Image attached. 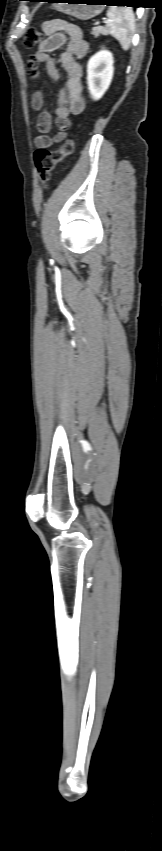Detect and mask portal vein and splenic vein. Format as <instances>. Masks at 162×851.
Segmentation results:
<instances>
[{
  "mask_svg": "<svg viewBox=\"0 0 162 851\" xmlns=\"http://www.w3.org/2000/svg\"><path fill=\"white\" fill-rule=\"evenodd\" d=\"M107 22H108V20H104V23H107ZM98 24H100V22L96 23V25H98Z\"/></svg>",
  "mask_w": 162,
  "mask_h": 851,
  "instance_id": "18ae733b",
  "label": "portal vein and splenic vein"
}]
</instances>
